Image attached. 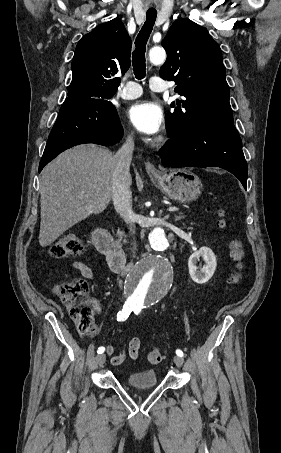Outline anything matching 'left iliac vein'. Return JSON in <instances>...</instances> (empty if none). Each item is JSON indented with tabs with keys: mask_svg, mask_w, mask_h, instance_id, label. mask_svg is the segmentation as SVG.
<instances>
[{
	"mask_svg": "<svg viewBox=\"0 0 281 453\" xmlns=\"http://www.w3.org/2000/svg\"><path fill=\"white\" fill-rule=\"evenodd\" d=\"M173 359H174L175 364H176L177 367H180L181 364L184 363V358H183V357H175V356H174Z\"/></svg>",
	"mask_w": 281,
	"mask_h": 453,
	"instance_id": "obj_1",
	"label": "left iliac vein"
}]
</instances>
